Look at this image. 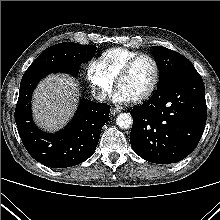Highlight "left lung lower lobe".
I'll return each instance as SVG.
<instances>
[{"label":"left lung lower lobe","instance_id":"obj_1","mask_svg":"<svg viewBox=\"0 0 220 220\" xmlns=\"http://www.w3.org/2000/svg\"><path fill=\"white\" fill-rule=\"evenodd\" d=\"M130 114L136 154L157 164L181 161L196 148L206 124L203 80L195 67L178 71Z\"/></svg>","mask_w":220,"mask_h":220}]
</instances>
